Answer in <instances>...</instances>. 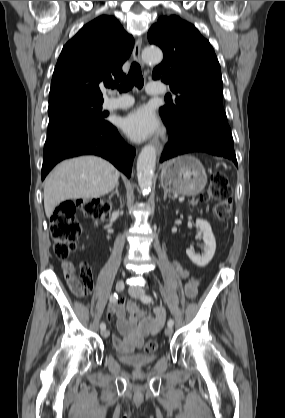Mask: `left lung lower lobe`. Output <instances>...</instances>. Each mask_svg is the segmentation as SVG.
Listing matches in <instances>:
<instances>
[{
	"label": "left lung lower lobe",
	"instance_id": "1",
	"mask_svg": "<svg viewBox=\"0 0 285 418\" xmlns=\"http://www.w3.org/2000/svg\"><path fill=\"white\" fill-rule=\"evenodd\" d=\"M169 134V142L160 162L189 152H207L226 157L237 165L232 134L226 122L200 118L192 121L182 131Z\"/></svg>",
	"mask_w": 285,
	"mask_h": 418
}]
</instances>
